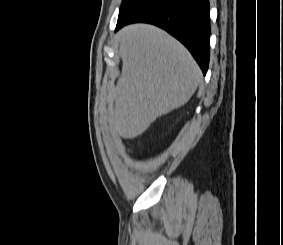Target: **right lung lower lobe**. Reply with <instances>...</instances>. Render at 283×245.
<instances>
[{
    "instance_id": "98d812e1",
    "label": "right lung lower lobe",
    "mask_w": 283,
    "mask_h": 245,
    "mask_svg": "<svg viewBox=\"0 0 283 245\" xmlns=\"http://www.w3.org/2000/svg\"><path fill=\"white\" fill-rule=\"evenodd\" d=\"M209 7V0H149L117 24L115 32L135 22L159 26L189 49L205 75L210 58Z\"/></svg>"
}]
</instances>
